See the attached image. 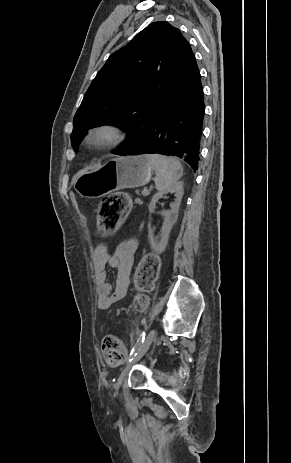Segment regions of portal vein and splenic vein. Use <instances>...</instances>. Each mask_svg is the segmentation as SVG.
<instances>
[{
    "mask_svg": "<svg viewBox=\"0 0 291 463\" xmlns=\"http://www.w3.org/2000/svg\"><path fill=\"white\" fill-rule=\"evenodd\" d=\"M142 194H143L144 196L148 195V194H149V190H143V191H142Z\"/></svg>",
    "mask_w": 291,
    "mask_h": 463,
    "instance_id": "18ae733b",
    "label": "portal vein and splenic vein"
}]
</instances>
